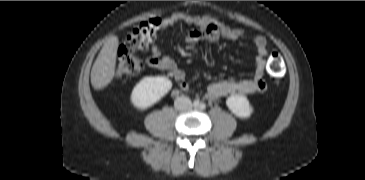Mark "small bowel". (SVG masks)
Segmentation results:
<instances>
[{
    "instance_id": "1",
    "label": "small bowel",
    "mask_w": 365,
    "mask_h": 180,
    "mask_svg": "<svg viewBox=\"0 0 365 180\" xmlns=\"http://www.w3.org/2000/svg\"><path fill=\"white\" fill-rule=\"evenodd\" d=\"M161 29L173 27L178 23L194 25L196 28L185 35L188 44H200L203 41L214 42L220 38L237 40L245 35V31L240 28H232L209 16H193L186 13H174L162 19ZM256 50L255 73L253 78L240 81L224 80L209 84L205 94L208 99L215 100L233 94L255 95L263 93L267 89L265 81L267 41L262 35L253 38ZM151 56L146 59V64L152 68L168 71L175 81L180 84L183 90H189L190 86L185 82V73L178 67L176 62L168 56L162 54L157 45L156 39L150 42Z\"/></svg>"
}]
</instances>
